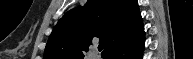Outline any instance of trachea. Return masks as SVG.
<instances>
[{
  "label": "trachea",
  "instance_id": "1",
  "mask_svg": "<svg viewBox=\"0 0 193 59\" xmlns=\"http://www.w3.org/2000/svg\"><path fill=\"white\" fill-rule=\"evenodd\" d=\"M98 50L101 52L103 50V46L102 45H98Z\"/></svg>",
  "mask_w": 193,
  "mask_h": 59
}]
</instances>
